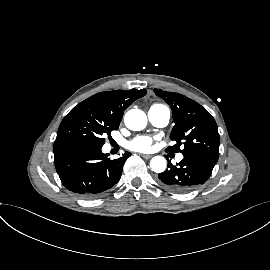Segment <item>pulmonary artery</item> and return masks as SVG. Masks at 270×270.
Returning <instances> with one entry per match:
<instances>
[{
	"label": "pulmonary artery",
	"instance_id": "pulmonary-artery-1",
	"mask_svg": "<svg viewBox=\"0 0 270 270\" xmlns=\"http://www.w3.org/2000/svg\"><path fill=\"white\" fill-rule=\"evenodd\" d=\"M148 118L154 126L164 127L169 122L170 112L166 107L152 106L148 111ZM182 158V154L177 156L178 160H181Z\"/></svg>",
	"mask_w": 270,
	"mask_h": 270
}]
</instances>
